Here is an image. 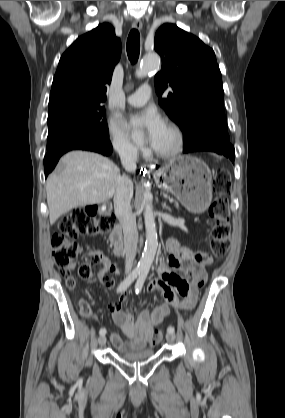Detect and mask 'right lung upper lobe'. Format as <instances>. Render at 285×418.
<instances>
[{
	"label": "right lung upper lobe",
	"mask_w": 285,
	"mask_h": 418,
	"mask_svg": "<svg viewBox=\"0 0 285 418\" xmlns=\"http://www.w3.org/2000/svg\"><path fill=\"white\" fill-rule=\"evenodd\" d=\"M121 55L114 28L103 23L80 36L61 56L49 104L59 101L102 103Z\"/></svg>",
	"instance_id": "1"
}]
</instances>
